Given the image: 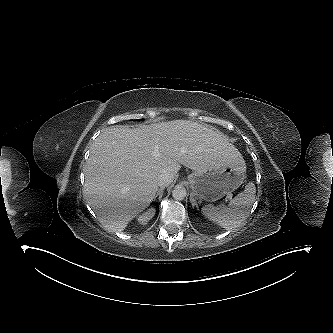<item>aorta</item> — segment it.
<instances>
[{"instance_id": "aorta-1", "label": "aorta", "mask_w": 333, "mask_h": 333, "mask_svg": "<svg viewBox=\"0 0 333 333\" xmlns=\"http://www.w3.org/2000/svg\"><path fill=\"white\" fill-rule=\"evenodd\" d=\"M186 194V188L181 185H176L172 191V197L175 200H183L186 197Z\"/></svg>"}]
</instances>
